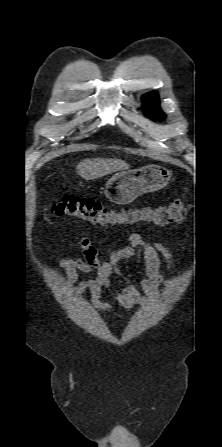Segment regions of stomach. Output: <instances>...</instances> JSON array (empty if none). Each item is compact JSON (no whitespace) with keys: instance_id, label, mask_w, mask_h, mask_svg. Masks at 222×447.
Returning <instances> with one entry per match:
<instances>
[{"instance_id":"stomach-1","label":"stomach","mask_w":222,"mask_h":447,"mask_svg":"<svg viewBox=\"0 0 222 447\" xmlns=\"http://www.w3.org/2000/svg\"><path fill=\"white\" fill-rule=\"evenodd\" d=\"M171 176V171L160 165L120 171L106 182L104 193L109 201L115 204H129L142 194L164 188Z\"/></svg>"}]
</instances>
